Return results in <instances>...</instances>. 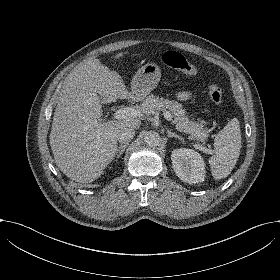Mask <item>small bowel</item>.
<instances>
[{
  "mask_svg": "<svg viewBox=\"0 0 280 280\" xmlns=\"http://www.w3.org/2000/svg\"><path fill=\"white\" fill-rule=\"evenodd\" d=\"M190 95L187 92H180L177 94V98L181 101H185L187 99H189Z\"/></svg>",
  "mask_w": 280,
  "mask_h": 280,
  "instance_id": "small-bowel-1",
  "label": "small bowel"
}]
</instances>
